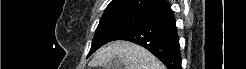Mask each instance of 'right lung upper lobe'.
Listing matches in <instances>:
<instances>
[{
  "mask_svg": "<svg viewBox=\"0 0 246 69\" xmlns=\"http://www.w3.org/2000/svg\"><path fill=\"white\" fill-rule=\"evenodd\" d=\"M165 3H167L166 0H112L101 19L122 15H142Z\"/></svg>",
  "mask_w": 246,
  "mask_h": 69,
  "instance_id": "cb5924a9",
  "label": "right lung upper lobe"
}]
</instances>
